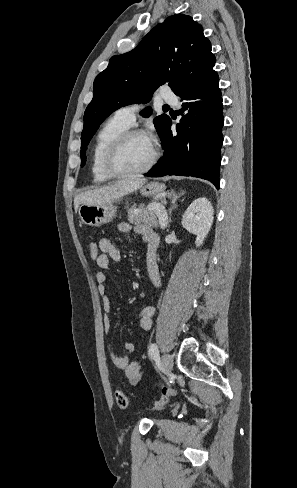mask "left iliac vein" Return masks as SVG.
<instances>
[{
	"instance_id": "1",
	"label": "left iliac vein",
	"mask_w": 297,
	"mask_h": 488,
	"mask_svg": "<svg viewBox=\"0 0 297 488\" xmlns=\"http://www.w3.org/2000/svg\"><path fill=\"white\" fill-rule=\"evenodd\" d=\"M162 365L165 373H170L173 367V358L169 354H163Z\"/></svg>"
}]
</instances>
